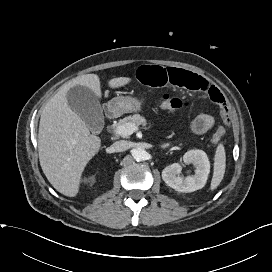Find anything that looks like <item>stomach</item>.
<instances>
[{"instance_id": "0dacf381", "label": "stomach", "mask_w": 272, "mask_h": 272, "mask_svg": "<svg viewBox=\"0 0 272 272\" xmlns=\"http://www.w3.org/2000/svg\"><path fill=\"white\" fill-rule=\"evenodd\" d=\"M145 99L119 96L109 102V109L116 114L138 112L142 108Z\"/></svg>"}]
</instances>
